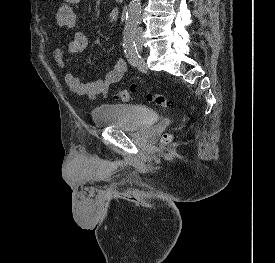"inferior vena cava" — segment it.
Segmentation results:
<instances>
[{
    "instance_id": "obj_1",
    "label": "inferior vena cava",
    "mask_w": 275,
    "mask_h": 263,
    "mask_svg": "<svg viewBox=\"0 0 275 263\" xmlns=\"http://www.w3.org/2000/svg\"><path fill=\"white\" fill-rule=\"evenodd\" d=\"M142 29L141 28H138V31H141Z\"/></svg>"
}]
</instances>
